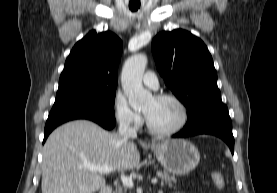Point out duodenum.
Wrapping results in <instances>:
<instances>
[{
  "instance_id": "duodenum-1",
  "label": "duodenum",
  "mask_w": 277,
  "mask_h": 193,
  "mask_svg": "<svg viewBox=\"0 0 277 193\" xmlns=\"http://www.w3.org/2000/svg\"><path fill=\"white\" fill-rule=\"evenodd\" d=\"M99 193H113V190L111 186H105L99 191Z\"/></svg>"
}]
</instances>
